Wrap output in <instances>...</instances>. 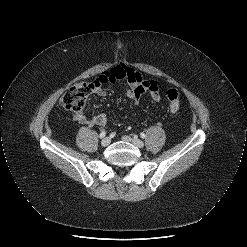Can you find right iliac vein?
Segmentation results:
<instances>
[{"label": "right iliac vein", "instance_id": "1", "mask_svg": "<svg viewBox=\"0 0 247 247\" xmlns=\"http://www.w3.org/2000/svg\"><path fill=\"white\" fill-rule=\"evenodd\" d=\"M110 143H111V139L109 137H106L101 141V145L104 147L108 146Z\"/></svg>", "mask_w": 247, "mask_h": 247}]
</instances>
